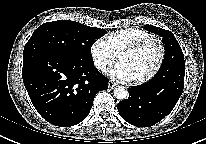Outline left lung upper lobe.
I'll return each instance as SVG.
<instances>
[{
    "label": "left lung upper lobe",
    "instance_id": "1",
    "mask_svg": "<svg viewBox=\"0 0 206 144\" xmlns=\"http://www.w3.org/2000/svg\"><path fill=\"white\" fill-rule=\"evenodd\" d=\"M144 29L158 34L163 38V42L165 43L164 60L157 74L151 79V81L160 79V77L165 75L167 70L185 67L183 52L172 32L152 25H145Z\"/></svg>",
    "mask_w": 206,
    "mask_h": 144
}]
</instances>
